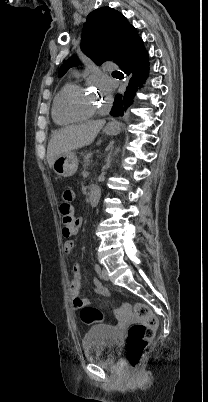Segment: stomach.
Segmentation results:
<instances>
[{
	"label": "stomach",
	"mask_w": 208,
	"mask_h": 402,
	"mask_svg": "<svg viewBox=\"0 0 208 402\" xmlns=\"http://www.w3.org/2000/svg\"><path fill=\"white\" fill-rule=\"evenodd\" d=\"M120 130V124L113 120V122H110V124H107V126H105L103 132H105L107 136H117ZM52 168L55 174H58V176H63V178L74 176L78 168V160L75 152H67V154H62V156H58V158L54 160Z\"/></svg>",
	"instance_id": "0dacf381"
}]
</instances>
